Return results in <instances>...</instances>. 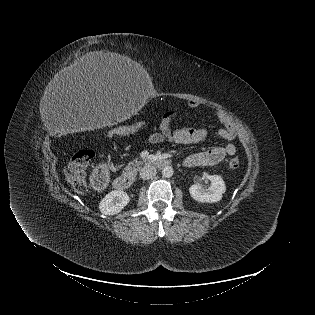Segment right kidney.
Returning a JSON list of instances; mask_svg holds the SVG:
<instances>
[{
  "mask_svg": "<svg viewBox=\"0 0 315 315\" xmlns=\"http://www.w3.org/2000/svg\"><path fill=\"white\" fill-rule=\"evenodd\" d=\"M130 201L129 195L122 190L109 192L100 202L99 209L104 215L119 213Z\"/></svg>",
  "mask_w": 315,
  "mask_h": 315,
  "instance_id": "obj_1",
  "label": "right kidney"
}]
</instances>
